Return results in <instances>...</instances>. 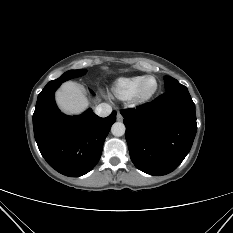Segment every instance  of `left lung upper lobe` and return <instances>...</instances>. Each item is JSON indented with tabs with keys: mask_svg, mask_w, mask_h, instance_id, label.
I'll return each mask as SVG.
<instances>
[{
	"mask_svg": "<svg viewBox=\"0 0 233 233\" xmlns=\"http://www.w3.org/2000/svg\"><path fill=\"white\" fill-rule=\"evenodd\" d=\"M164 82H165L166 91L175 90V89L185 87L184 85L180 84L176 79H174L170 76H165Z\"/></svg>",
	"mask_w": 233,
	"mask_h": 233,
	"instance_id": "5c2ea615",
	"label": "left lung upper lobe"
}]
</instances>
